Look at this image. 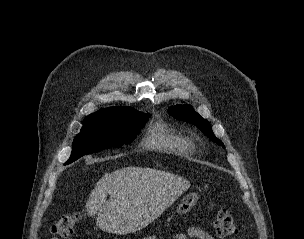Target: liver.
Returning <instances> with one entry per match:
<instances>
[{
  "label": "liver",
  "instance_id": "6515ba94",
  "mask_svg": "<svg viewBox=\"0 0 304 239\" xmlns=\"http://www.w3.org/2000/svg\"><path fill=\"white\" fill-rule=\"evenodd\" d=\"M189 187L188 180L173 173L128 166L105 174L96 183L86 209L91 216L97 214L100 229L125 235L148 226Z\"/></svg>",
  "mask_w": 304,
  "mask_h": 239
}]
</instances>
